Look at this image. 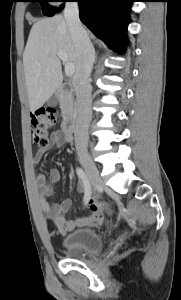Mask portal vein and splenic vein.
Wrapping results in <instances>:
<instances>
[{"label": "portal vein and splenic vein", "instance_id": "portal-vein-and-splenic-vein-1", "mask_svg": "<svg viewBox=\"0 0 181 300\" xmlns=\"http://www.w3.org/2000/svg\"><path fill=\"white\" fill-rule=\"evenodd\" d=\"M57 55L65 64L66 76H68V77L73 76V74L75 72V66L68 61L67 54L64 51H58Z\"/></svg>", "mask_w": 181, "mask_h": 300}]
</instances>
